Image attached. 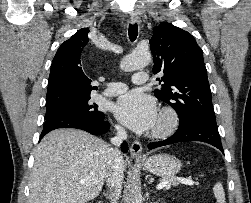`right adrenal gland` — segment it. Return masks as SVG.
Wrapping results in <instances>:
<instances>
[{"mask_svg":"<svg viewBox=\"0 0 251 203\" xmlns=\"http://www.w3.org/2000/svg\"><path fill=\"white\" fill-rule=\"evenodd\" d=\"M103 195L110 199V196L107 193L104 192Z\"/></svg>","mask_w":251,"mask_h":203,"instance_id":"2a0ac1e0","label":"right adrenal gland"}]
</instances>
